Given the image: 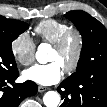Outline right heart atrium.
<instances>
[{"label":"right heart atrium","mask_w":107,"mask_h":107,"mask_svg":"<svg viewBox=\"0 0 107 107\" xmlns=\"http://www.w3.org/2000/svg\"><path fill=\"white\" fill-rule=\"evenodd\" d=\"M36 46L27 32L18 34L11 42V52L21 65H30L35 59Z\"/></svg>","instance_id":"obj_1"}]
</instances>
